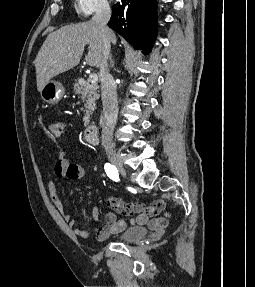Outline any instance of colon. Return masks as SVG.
I'll list each match as a JSON object with an SVG mask.
<instances>
[{"mask_svg": "<svg viewBox=\"0 0 255 287\" xmlns=\"http://www.w3.org/2000/svg\"><path fill=\"white\" fill-rule=\"evenodd\" d=\"M49 131L54 138H60L64 132V125L58 121H52L48 125Z\"/></svg>", "mask_w": 255, "mask_h": 287, "instance_id": "colon-1", "label": "colon"}]
</instances>
